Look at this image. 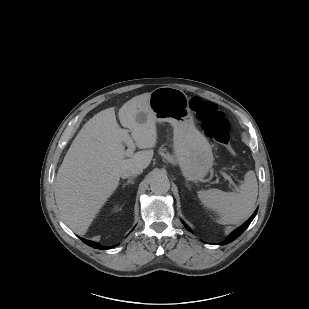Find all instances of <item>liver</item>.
Wrapping results in <instances>:
<instances>
[{"label":"liver","mask_w":309,"mask_h":309,"mask_svg":"<svg viewBox=\"0 0 309 309\" xmlns=\"http://www.w3.org/2000/svg\"><path fill=\"white\" fill-rule=\"evenodd\" d=\"M151 93L127 101L119 120L131 133L138 151L126 158L121 129L113 107L94 115L73 140L55 179V200L62 219L77 234L84 235L101 207L119 185L123 171L145 169L151 163L157 142L156 119L149 106ZM145 115L144 121L138 116Z\"/></svg>","instance_id":"6515ba94"}]
</instances>
